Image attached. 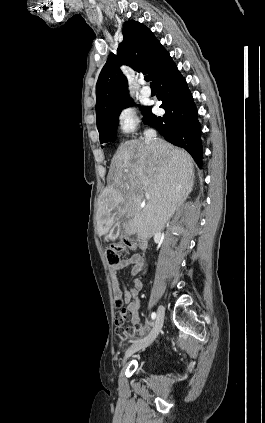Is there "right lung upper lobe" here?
Segmentation results:
<instances>
[{
  "instance_id": "cb5924a9",
  "label": "right lung upper lobe",
  "mask_w": 265,
  "mask_h": 423,
  "mask_svg": "<svg viewBox=\"0 0 265 423\" xmlns=\"http://www.w3.org/2000/svg\"><path fill=\"white\" fill-rule=\"evenodd\" d=\"M123 42L111 53L96 84V121L100 123L117 106L129 99L127 79L120 70L125 64L148 73L153 80L172 60L153 33L143 24L128 20L123 26Z\"/></svg>"
}]
</instances>
